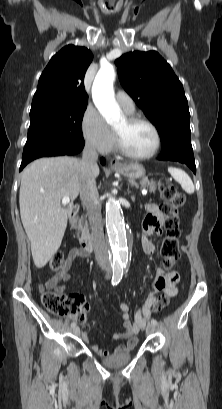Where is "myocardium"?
Wrapping results in <instances>:
<instances>
[{
  "label": "myocardium",
  "mask_w": 222,
  "mask_h": 409,
  "mask_svg": "<svg viewBox=\"0 0 222 409\" xmlns=\"http://www.w3.org/2000/svg\"><path fill=\"white\" fill-rule=\"evenodd\" d=\"M126 120L129 125H134L138 123H143V124L148 125L154 132L155 145L153 149L146 154H134L125 147L120 135L115 131V143H116L117 150L125 157H128L130 159H135V160H145V159H149L153 157L154 155H156V153L159 151L161 147V142H162L161 134H160L158 127L149 119L141 117V116L130 115V116H127Z\"/></svg>",
  "instance_id": "1"
}]
</instances>
